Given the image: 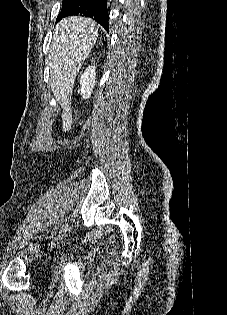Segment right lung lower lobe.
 I'll list each match as a JSON object with an SVG mask.
<instances>
[{
	"mask_svg": "<svg viewBox=\"0 0 227 315\" xmlns=\"http://www.w3.org/2000/svg\"><path fill=\"white\" fill-rule=\"evenodd\" d=\"M68 16L92 18L109 31L107 0H63L57 22Z\"/></svg>",
	"mask_w": 227,
	"mask_h": 315,
	"instance_id": "98d812e1",
	"label": "right lung lower lobe"
}]
</instances>
